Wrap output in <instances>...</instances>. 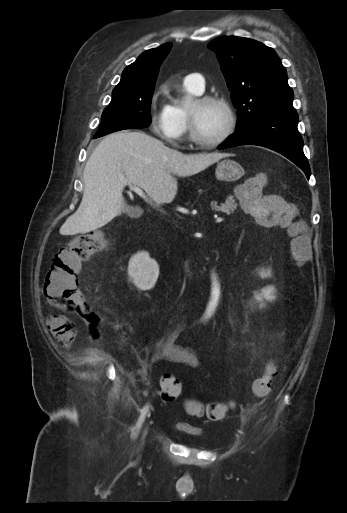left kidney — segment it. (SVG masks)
<instances>
[{
  "label": "left kidney",
  "mask_w": 347,
  "mask_h": 513,
  "mask_svg": "<svg viewBox=\"0 0 347 513\" xmlns=\"http://www.w3.org/2000/svg\"><path fill=\"white\" fill-rule=\"evenodd\" d=\"M267 274L269 273H266L264 271L260 273L262 277L266 276ZM263 298H265L267 301H273L276 298L275 290L273 288L267 287L262 289L261 293H255V299L257 301L262 302Z\"/></svg>",
  "instance_id": "left-kidney-1"
}]
</instances>
